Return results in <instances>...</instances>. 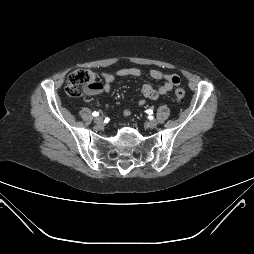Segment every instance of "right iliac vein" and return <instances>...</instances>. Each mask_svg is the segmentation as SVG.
Returning <instances> with one entry per match:
<instances>
[{
    "instance_id": "63e3f726",
    "label": "right iliac vein",
    "mask_w": 254,
    "mask_h": 254,
    "mask_svg": "<svg viewBox=\"0 0 254 254\" xmlns=\"http://www.w3.org/2000/svg\"><path fill=\"white\" fill-rule=\"evenodd\" d=\"M94 122L96 123V124H98V125H101V124H103V118L102 117H96L95 119H94Z\"/></svg>"
}]
</instances>
